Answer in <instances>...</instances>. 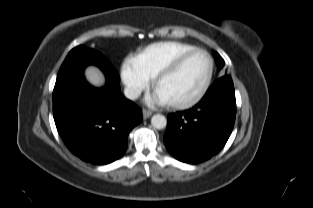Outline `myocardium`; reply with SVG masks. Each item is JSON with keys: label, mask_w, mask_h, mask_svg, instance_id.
I'll return each instance as SVG.
<instances>
[{"label": "myocardium", "mask_w": 313, "mask_h": 208, "mask_svg": "<svg viewBox=\"0 0 313 208\" xmlns=\"http://www.w3.org/2000/svg\"><path fill=\"white\" fill-rule=\"evenodd\" d=\"M197 53H202L204 54L209 62V70L207 77L205 79V82L203 83L201 89L199 92L192 98L184 101H174V102H167L168 105L172 108L175 109H185L192 107L196 105L198 102H200L206 93L208 92L212 79H213V74H214V60L211 57V55L204 49L201 48H195L193 50L187 51L179 55L171 64H169L166 68L161 70L154 79V89L157 90L158 86L169 76L173 75L176 73L180 67L183 65V63L192 55L197 54Z\"/></svg>", "instance_id": "myocardium-1"}]
</instances>
